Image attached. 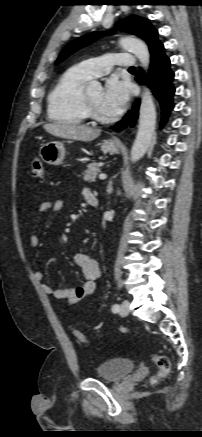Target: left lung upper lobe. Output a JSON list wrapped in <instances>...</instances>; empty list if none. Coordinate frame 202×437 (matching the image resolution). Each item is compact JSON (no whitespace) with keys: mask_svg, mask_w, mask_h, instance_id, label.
I'll return each instance as SVG.
<instances>
[{"mask_svg":"<svg viewBox=\"0 0 202 437\" xmlns=\"http://www.w3.org/2000/svg\"><path fill=\"white\" fill-rule=\"evenodd\" d=\"M117 27L126 30L127 32L137 35L146 41L149 47L150 53L159 45L161 42L158 40L157 30L150 24L148 19L139 16H129L125 20L119 21ZM101 34L99 32H92L85 36L79 37L68 45L65 46L60 56L58 57L56 64L62 62L69 55L77 51L78 49L85 47L92 42L96 41Z\"/></svg>","mask_w":202,"mask_h":437,"instance_id":"5c2ea615","label":"left lung upper lobe"}]
</instances>
